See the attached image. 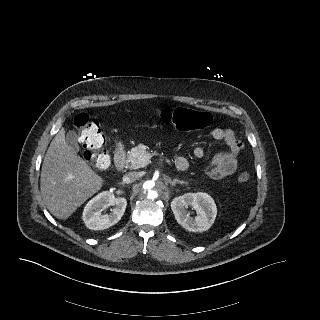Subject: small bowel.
<instances>
[{
    "mask_svg": "<svg viewBox=\"0 0 320 320\" xmlns=\"http://www.w3.org/2000/svg\"><path fill=\"white\" fill-rule=\"evenodd\" d=\"M211 137L216 141H223L227 145V150L216 154L208 163L207 173L213 179H223L235 173L238 167V156L242 152L244 145L230 129L215 128L211 132ZM197 158H203L205 152L201 147H196L193 151ZM178 165L188 161L185 157L176 158Z\"/></svg>",
    "mask_w": 320,
    "mask_h": 320,
    "instance_id": "obj_1",
    "label": "small bowel"
}]
</instances>
